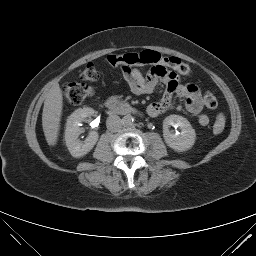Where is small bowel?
Wrapping results in <instances>:
<instances>
[{
	"label": "small bowel",
	"mask_w": 256,
	"mask_h": 256,
	"mask_svg": "<svg viewBox=\"0 0 256 256\" xmlns=\"http://www.w3.org/2000/svg\"><path fill=\"white\" fill-rule=\"evenodd\" d=\"M122 76L135 95L151 94L159 83L165 85L163 98L148 106L147 113L149 116L157 117L164 113L171 106L172 97L177 96L185 99L186 110L197 116L199 125L207 126L209 124V117L202 113L203 101L199 89L194 84H181L178 72L166 62L153 64L146 75L138 68L124 67L122 68Z\"/></svg>",
	"instance_id": "obj_1"
}]
</instances>
